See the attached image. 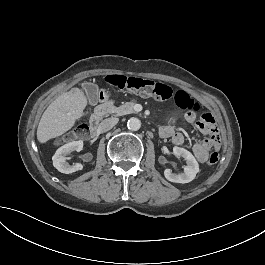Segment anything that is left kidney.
<instances>
[{
    "instance_id": "left-kidney-1",
    "label": "left kidney",
    "mask_w": 265,
    "mask_h": 265,
    "mask_svg": "<svg viewBox=\"0 0 265 265\" xmlns=\"http://www.w3.org/2000/svg\"><path fill=\"white\" fill-rule=\"evenodd\" d=\"M173 154L181 156L186 160V166L183 167V173L173 174L170 170H165L167 180L174 183H188L192 181L199 172V164L190 151L183 147L174 146Z\"/></svg>"
}]
</instances>
